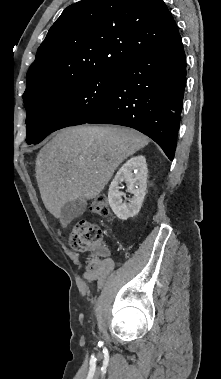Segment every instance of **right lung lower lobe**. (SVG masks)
I'll return each instance as SVG.
<instances>
[{
	"mask_svg": "<svg viewBox=\"0 0 221 379\" xmlns=\"http://www.w3.org/2000/svg\"><path fill=\"white\" fill-rule=\"evenodd\" d=\"M185 84L186 57L178 34L120 66L111 99L85 123L134 128L153 139L173 160Z\"/></svg>",
	"mask_w": 221,
	"mask_h": 379,
	"instance_id": "98d812e1",
	"label": "right lung lower lobe"
}]
</instances>
